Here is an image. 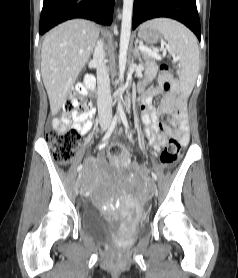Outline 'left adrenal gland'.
Listing matches in <instances>:
<instances>
[{"mask_svg":"<svg viewBox=\"0 0 238 278\" xmlns=\"http://www.w3.org/2000/svg\"><path fill=\"white\" fill-rule=\"evenodd\" d=\"M138 39H136L135 41V47H134V50H133V56L135 58H138L139 62H142V57H141V53H140V50L138 48Z\"/></svg>","mask_w":238,"mask_h":278,"instance_id":"1","label":"left adrenal gland"}]
</instances>
